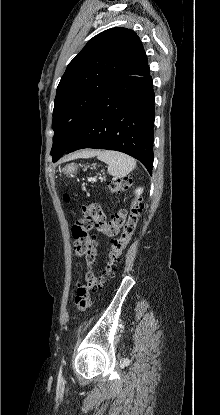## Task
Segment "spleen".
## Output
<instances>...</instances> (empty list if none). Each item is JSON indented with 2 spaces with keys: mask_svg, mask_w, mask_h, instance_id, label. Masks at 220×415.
Here are the masks:
<instances>
[{
  "mask_svg": "<svg viewBox=\"0 0 220 415\" xmlns=\"http://www.w3.org/2000/svg\"><path fill=\"white\" fill-rule=\"evenodd\" d=\"M95 155L108 164V173L117 178L125 177L136 166L135 159L118 151H97Z\"/></svg>",
  "mask_w": 220,
  "mask_h": 415,
  "instance_id": "obj_1",
  "label": "spleen"
}]
</instances>
